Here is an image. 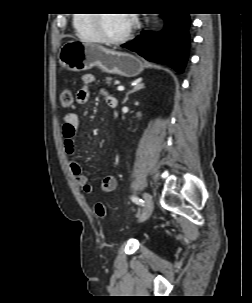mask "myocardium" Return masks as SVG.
<instances>
[{"mask_svg":"<svg viewBox=\"0 0 252 303\" xmlns=\"http://www.w3.org/2000/svg\"><path fill=\"white\" fill-rule=\"evenodd\" d=\"M128 15L130 16V14H128ZM94 16H95V24H96L98 33H99L102 41H104L105 43L119 44L121 42L126 41L130 37V35L135 27V20H134V18H132L130 16L131 22H130L128 29L122 35L117 36V37H112V36L107 35L103 29L102 23H103V19H104V14H94Z\"/></svg>","mask_w":252,"mask_h":303,"instance_id":"obj_1","label":"myocardium"}]
</instances>
